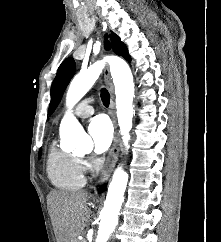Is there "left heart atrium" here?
I'll return each mask as SVG.
<instances>
[{
  "instance_id": "39dd6f15",
  "label": "left heart atrium",
  "mask_w": 221,
  "mask_h": 242,
  "mask_svg": "<svg viewBox=\"0 0 221 242\" xmlns=\"http://www.w3.org/2000/svg\"><path fill=\"white\" fill-rule=\"evenodd\" d=\"M88 132L97 154L104 153L111 145L113 128L107 117L99 115L93 118L88 126Z\"/></svg>"
}]
</instances>
